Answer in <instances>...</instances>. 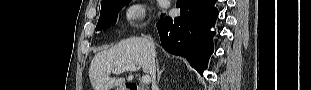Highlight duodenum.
<instances>
[{
	"mask_svg": "<svg viewBox=\"0 0 311 90\" xmlns=\"http://www.w3.org/2000/svg\"><path fill=\"white\" fill-rule=\"evenodd\" d=\"M125 90H145V88L138 86L136 84H129L127 85Z\"/></svg>",
	"mask_w": 311,
	"mask_h": 90,
	"instance_id": "410a0bca",
	"label": "duodenum"
}]
</instances>
